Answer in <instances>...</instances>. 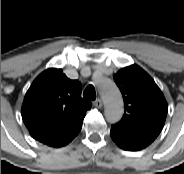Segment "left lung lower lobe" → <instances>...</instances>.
Wrapping results in <instances>:
<instances>
[{"mask_svg": "<svg viewBox=\"0 0 184 174\" xmlns=\"http://www.w3.org/2000/svg\"><path fill=\"white\" fill-rule=\"evenodd\" d=\"M111 138L112 140L122 149L129 151H138L149 144H151L155 139L150 137L137 135L131 133L127 130L112 125L111 127Z\"/></svg>", "mask_w": 184, "mask_h": 174, "instance_id": "obj_1", "label": "left lung lower lobe"}]
</instances>
